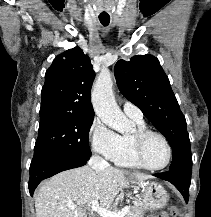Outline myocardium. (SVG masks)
<instances>
[{
  "label": "myocardium",
  "instance_id": "obj_1",
  "mask_svg": "<svg viewBox=\"0 0 211 217\" xmlns=\"http://www.w3.org/2000/svg\"><path fill=\"white\" fill-rule=\"evenodd\" d=\"M152 136H157L163 140L168 150V158L164 165L160 167H153L149 165L145 159V145L148 139ZM132 144H133V152L136 160L141 165V167L151 170V171H160L169 166L173 157V151L169 140L160 132L153 131L150 129L138 130L132 135Z\"/></svg>",
  "mask_w": 211,
  "mask_h": 217
}]
</instances>
